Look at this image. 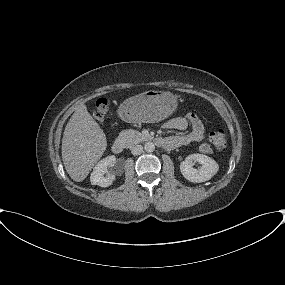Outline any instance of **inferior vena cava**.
Masks as SVG:
<instances>
[{"instance_id": "obj_1", "label": "inferior vena cava", "mask_w": 285, "mask_h": 285, "mask_svg": "<svg viewBox=\"0 0 285 285\" xmlns=\"http://www.w3.org/2000/svg\"><path fill=\"white\" fill-rule=\"evenodd\" d=\"M143 152V147L141 145H136L131 148V153L133 155H140Z\"/></svg>"}]
</instances>
